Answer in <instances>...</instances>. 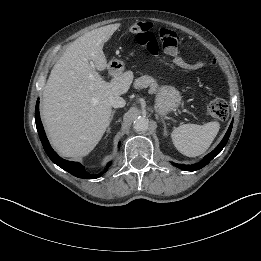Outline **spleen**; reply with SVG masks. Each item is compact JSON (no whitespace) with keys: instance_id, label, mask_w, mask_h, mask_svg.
Instances as JSON below:
<instances>
[{"instance_id":"spleen-1","label":"spleen","mask_w":261,"mask_h":261,"mask_svg":"<svg viewBox=\"0 0 261 261\" xmlns=\"http://www.w3.org/2000/svg\"><path fill=\"white\" fill-rule=\"evenodd\" d=\"M219 129L218 122H208L204 125L184 124L175 128L171 137L180 153L188 157H196L208 150Z\"/></svg>"}]
</instances>
